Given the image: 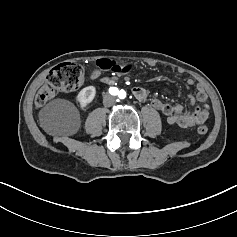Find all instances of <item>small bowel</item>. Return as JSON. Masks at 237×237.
<instances>
[{
	"mask_svg": "<svg viewBox=\"0 0 237 237\" xmlns=\"http://www.w3.org/2000/svg\"><path fill=\"white\" fill-rule=\"evenodd\" d=\"M99 75L100 71L98 69L91 73L92 78H97ZM187 87L189 89L196 87V99L191 94L189 97L193 105L195 104V100L200 103L199 106H194L189 111H186L181 104L171 105L160 99H153L151 101L152 107L161 112L166 117L167 123L170 125H177L182 128L193 127L206 121L209 117L210 106L207 103L208 97L204 87L201 84H197L193 79L187 81ZM132 94L141 102L146 101L148 98L147 90L140 86L134 87L132 89Z\"/></svg>",
	"mask_w": 237,
	"mask_h": 237,
	"instance_id": "c3829d8e",
	"label": "small bowel"
}]
</instances>
